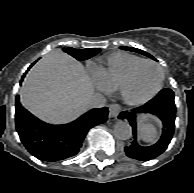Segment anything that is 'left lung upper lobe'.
Returning a JSON list of instances; mask_svg holds the SVG:
<instances>
[{"label":"left lung upper lobe","instance_id":"obj_1","mask_svg":"<svg viewBox=\"0 0 194 193\" xmlns=\"http://www.w3.org/2000/svg\"><path fill=\"white\" fill-rule=\"evenodd\" d=\"M122 49L124 50H128V51H133V52H137V53H140V54H143V55H146L152 59L155 60V58L153 56H151L150 54L146 53L145 51H142L140 49H136V48H131V47H121Z\"/></svg>","mask_w":194,"mask_h":193}]
</instances>
